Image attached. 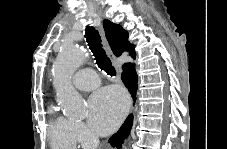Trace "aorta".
Segmentation results:
<instances>
[{"label": "aorta", "mask_w": 227, "mask_h": 149, "mask_svg": "<svg viewBox=\"0 0 227 149\" xmlns=\"http://www.w3.org/2000/svg\"><path fill=\"white\" fill-rule=\"evenodd\" d=\"M84 59L85 53L79 46L65 43L52 67L56 100L66 114L74 117L84 114V100L71 84L73 74Z\"/></svg>", "instance_id": "obj_1"}]
</instances>
